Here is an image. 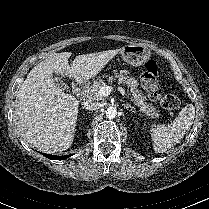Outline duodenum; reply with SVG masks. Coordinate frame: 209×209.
<instances>
[{"instance_id":"410a0bca","label":"duodenum","mask_w":209,"mask_h":209,"mask_svg":"<svg viewBox=\"0 0 209 209\" xmlns=\"http://www.w3.org/2000/svg\"><path fill=\"white\" fill-rule=\"evenodd\" d=\"M85 87V83L82 81H75L73 84V91L75 93H80Z\"/></svg>"}]
</instances>
